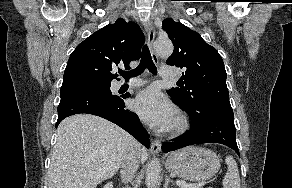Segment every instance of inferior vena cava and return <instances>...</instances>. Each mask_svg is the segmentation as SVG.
<instances>
[{
  "mask_svg": "<svg viewBox=\"0 0 292 188\" xmlns=\"http://www.w3.org/2000/svg\"><path fill=\"white\" fill-rule=\"evenodd\" d=\"M140 158V145L136 141L132 142L128 153L121 164V179L123 183L132 181L137 168Z\"/></svg>",
  "mask_w": 292,
  "mask_h": 188,
  "instance_id": "602c4592",
  "label": "inferior vena cava"
}]
</instances>
